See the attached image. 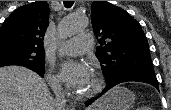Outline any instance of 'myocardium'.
I'll use <instances>...</instances> for the list:
<instances>
[{"instance_id": "myocardium-1", "label": "myocardium", "mask_w": 171, "mask_h": 110, "mask_svg": "<svg viewBox=\"0 0 171 110\" xmlns=\"http://www.w3.org/2000/svg\"><path fill=\"white\" fill-rule=\"evenodd\" d=\"M94 76H95V86L92 90H90L87 93L84 94H77L76 98L79 100H87L90 98H93L95 96H97L104 88V78L103 76L98 72V71H94L93 72Z\"/></svg>"}]
</instances>
